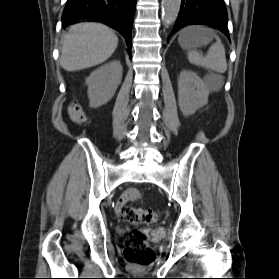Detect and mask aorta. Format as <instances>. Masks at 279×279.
Segmentation results:
<instances>
[{"instance_id": "762f6f07", "label": "aorta", "mask_w": 279, "mask_h": 279, "mask_svg": "<svg viewBox=\"0 0 279 279\" xmlns=\"http://www.w3.org/2000/svg\"><path fill=\"white\" fill-rule=\"evenodd\" d=\"M180 5L181 0H162V19L165 26L175 22Z\"/></svg>"}]
</instances>
